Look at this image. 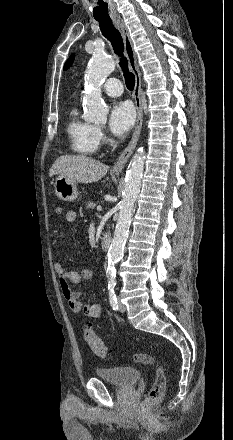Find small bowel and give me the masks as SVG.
<instances>
[{
    "instance_id": "obj_1",
    "label": "small bowel",
    "mask_w": 233,
    "mask_h": 440,
    "mask_svg": "<svg viewBox=\"0 0 233 440\" xmlns=\"http://www.w3.org/2000/svg\"><path fill=\"white\" fill-rule=\"evenodd\" d=\"M77 212L69 210L66 215V221L72 223L77 220ZM54 268L58 276L61 293L67 301L69 308L74 313H83L90 318H98L101 315V306L97 302L83 301L87 296L85 292L74 290L71 285L81 283V281H93L94 273L90 269L81 271L70 270L66 268L58 259L54 262Z\"/></svg>"
}]
</instances>
